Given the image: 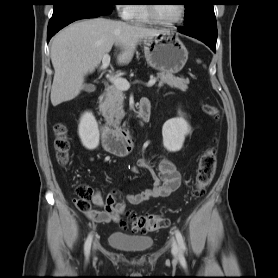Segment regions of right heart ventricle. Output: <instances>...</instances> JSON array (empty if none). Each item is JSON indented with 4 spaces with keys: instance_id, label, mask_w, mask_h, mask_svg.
<instances>
[{
    "instance_id": "1",
    "label": "right heart ventricle",
    "mask_w": 278,
    "mask_h": 278,
    "mask_svg": "<svg viewBox=\"0 0 278 278\" xmlns=\"http://www.w3.org/2000/svg\"><path fill=\"white\" fill-rule=\"evenodd\" d=\"M131 20L140 24L150 23V20L147 16L146 6L144 4L134 5Z\"/></svg>"
}]
</instances>
